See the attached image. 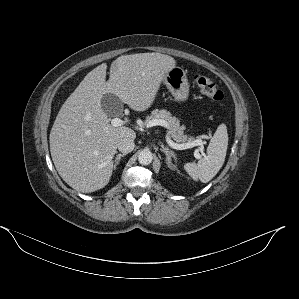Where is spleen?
Segmentation results:
<instances>
[{
  "instance_id": "obj_1",
  "label": "spleen",
  "mask_w": 299,
  "mask_h": 299,
  "mask_svg": "<svg viewBox=\"0 0 299 299\" xmlns=\"http://www.w3.org/2000/svg\"><path fill=\"white\" fill-rule=\"evenodd\" d=\"M227 147V127L225 124H220L207 147V155L198 163H186L184 169L194 180L209 182L223 166Z\"/></svg>"
}]
</instances>
